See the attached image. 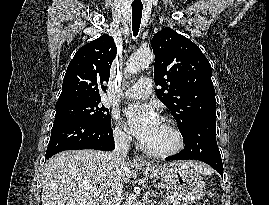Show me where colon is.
Instances as JSON below:
<instances>
[{"label":"colon","mask_w":269,"mask_h":205,"mask_svg":"<svg viewBox=\"0 0 269 205\" xmlns=\"http://www.w3.org/2000/svg\"><path fill=\"white\" fill-rule=\"evenodd\" d=\"M191 205H203V204H200V203H194V204H191Z\"/></svg>","instance_id":"colon-1"}]
</instances>
